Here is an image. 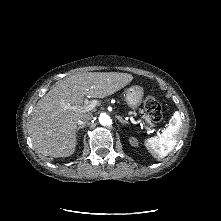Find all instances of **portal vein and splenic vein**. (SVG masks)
Listing matches in <instances>:
<instances>
[{"instance_id":"obj_1","label":"portal vein and splenic vein","mask_w":221,"mask_h":221,"mask_svg":"<svg viewBox=\"0 0 221 221\" xmlns=\"http://www.w3.org/2000/svg\"><path fill=\"white\" fill-rule=\"evenodd\" d=\"M98 105V101L97 100H93V101H88L87 99H85V103L83 106L78 107V110L81 111H91L93 110L96 106ZM130 120L132 123L134 124H142V121L139 120H135L133 117H130Z\"/></svg>"}]
</instances>
